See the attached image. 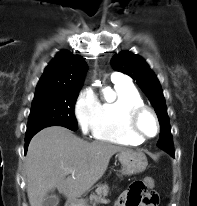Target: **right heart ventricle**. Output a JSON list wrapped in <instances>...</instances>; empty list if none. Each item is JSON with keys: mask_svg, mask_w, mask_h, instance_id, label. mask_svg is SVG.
Here are the masks:
<instances>
[{"mask_svg": "<svg viewBox=\"0 0 197 206\" xmlns=\"http://www.w3.org/2000/svg\"><path fill=\"white\" fill-rule=\"evenodd\" d=\"M116 98L100 103L93 127V137L114 144L136 146L143 141L127 128L126 114L133 107L144 105L138 90L130 82H113Z\"/></svg>", "mask_w": 197, "mask_h": 206, "instance_id": "obj_1", "label": "right heart ventricle"}]
</instances>
